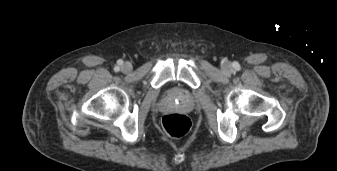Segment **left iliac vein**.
Wrapping results in <instances>:
<instances>
[{
    "label": "left iliac vein",
    "mask_w": 337,
    "mask_h": 171,
    "mask_svg": "<svg viewBox=\"0 0 337 171\" xmlns=\"http://www.w3.org/2000/svg\"><path fill=\"white\" fill-rule=\"evenodd\" d=\"M222 68H223L224 72H226V73L231 72V66H230L229 63H225Z\"/></svg>",
    "instance_id": "left-iliac-vein-1"
}]
</instances>
